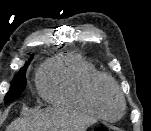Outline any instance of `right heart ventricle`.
<instances>
[{
	"label": "right heart ventricle",
	"instance_id": "obj_1",
	"mask_svg": "<svg viewBox=\"0 0 151 131\" xmlns=\"http://www.w3.org/2000/svg\"><path fill=\"white\" fill-rule=\"evenodd\" d=\"M101 76L95 66L84 57L68 53L49 60L41 68L38 90L53 105L100 117L92 101V91L94 83Z\"/></svg>",
	"mask_w": 151,
	"mask_h": 131
}]
</instances>
